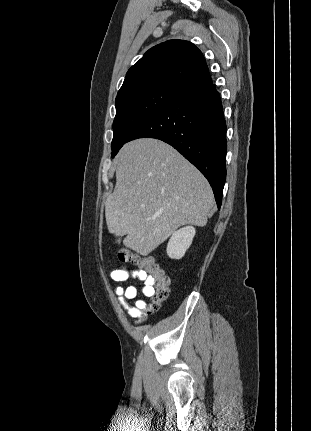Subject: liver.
<instances>
[{
    "label": "liver",
    "mask_w": 311,
    "mask_h": 431,
    "mask_svg": "<svg viewBox=\"0 0 311 431\" xmlns=\"http://www.w3.org/2000/svg\"><path fill=\"white\" fill-rule=\"evenodd\" d=\"M116 186L107 196L110 233L148 255L180 225H206L215 204L206 178L174 148L153 140H134L117 156Z\"/></svg>",
    "instance_id": "6515ba94"
}]
</instances>
